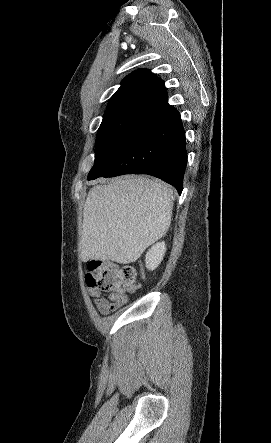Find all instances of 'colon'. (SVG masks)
I'll return each instance as SVG.
<instances>
[{
  "label": "colon",
  "mask_w": 271,
  "mask_h": 443,
  "mask_svg": "<svg viewBox=\"0 0 271 443\" xmlns=\"http://www.w3.org/2000/svg\"><path fill=\"white\" fill-rule=\"evenodd\" d=\"M86 283L89 288L123 297L136 289L135 271L113 262H95L86 275Z\"/></svg>",
  "instance_id": "colon-1"
}]
</instances>
